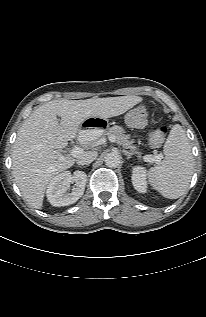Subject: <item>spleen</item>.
Instances as JSON below:
<instances>
[{"instance_id":"3e777b00","label":"spleen","mask_w":206,"mask_h":317,"mask_svg":"<svg viewBox=\"0 0 206 317\" xmlns=\"http://www.w3.org/2000/svg\"><path fill=\"white\" fill-rule=\"evenodd\" d=\"M164 155V160L149 169L148 180L165 198L177 199L187 191L194 169L189 139L179 124L168 135Z\"/></svg>"}]
</instances>
